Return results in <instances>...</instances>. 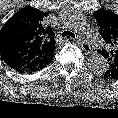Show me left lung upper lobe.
Segmentation results:
<instances>
[{"label": "left lung upper lobe", "instance_id": "obj_1", "mask_svg": "<svg viewBox=\"0 0 118 118\" xmlns=\"http://www.w3.org/2000/svg\"><path fill=\"white\" fill-rule=\"evenodd\" d=\"M94 17L100 27V35L109 45V50L99 51L108 62V68L102 77L118 79V15L106 9L97 10Z\"/></svg>", "mask_w": 118, "mask_h": 118}]
</instances>
